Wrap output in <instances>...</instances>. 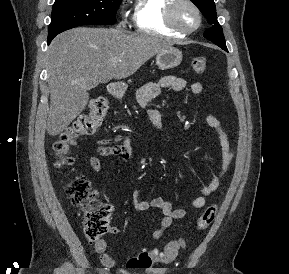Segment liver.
<instances>
[{
  "instance_id": "1",
  "label": "liver",
  "mask_w": 289,
  "mask_h": 274,
  "mask_svg": "<svg viewBox=\"0 0 289 274\" xmlns=\"http://www.w3.org/2000/svg\"><path fill=\"white\" fill-rule=\"evenodd\" d=\"M171 43L114 28L79 27L56 36L48 55L50 109L47 132L56 136L82 113L90 84L131 76Z\"/></svg>"
}]
</instances>
